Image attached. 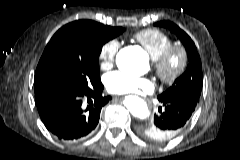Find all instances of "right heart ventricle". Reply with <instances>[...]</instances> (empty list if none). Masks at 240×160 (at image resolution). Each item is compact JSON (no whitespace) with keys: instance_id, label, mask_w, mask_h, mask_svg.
I'll return each instance as SVG.
<instances>
[{"instance_id":"e07e8e85","label":"right heart ventricle","mask_w":240,"mask_h":160,"mask_svg":"<svg viewBox=\"0 0 240 160\" xmlns=\"http://www.w3.org/2000/svg\"><path fill=\"white\" fill-rule=\"evenodd\" d=\"M134 39L144 47L152 59H156L172 44L171 38L166 33L153 28L137 32Z\"/></svg>"}]
</instances>
